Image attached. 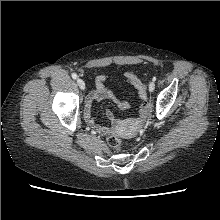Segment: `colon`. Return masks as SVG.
<instances>
[{
    "label": "colon",
    "mask_w": 220,
    "mask_h": 220,
    "mask_svg": "<svg viewBox=\"0 0 220 220\" xmlns=\"http://www.w3.org/2000/svg\"><path fill=\"white\" fill-rule=\"evenodd\" d=\"M142 110L144 112H147L149 110L148 101L144 102V104L142 106ZM107 142H108L109 146L112 147L113 149H115V150L121 149V140L118 137L111 135L108 137Z\"/></svg>",
    "instance_id": "colon-1"
}]
</instances>
